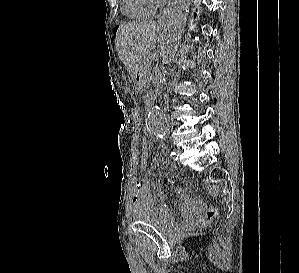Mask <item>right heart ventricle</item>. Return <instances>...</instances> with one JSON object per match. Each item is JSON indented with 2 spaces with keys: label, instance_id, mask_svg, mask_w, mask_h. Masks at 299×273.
Here are the masks:
<instances>
[{
  "label": "right heart ventricle",
  "instance_id": "1",
  "mask_svg": "<svg viewBox=\"0 0 299 273\" xmlns=\"http://www.w3.org/2000/svg\"><path fill=\"white\" fill-rule=\"evenodd\" d=\"M122 13L133 20H144L154 15L151 0H122Z\"/></svg>",
  "mask_w": 299,
  "mask_h": 273
}]
</instances>
